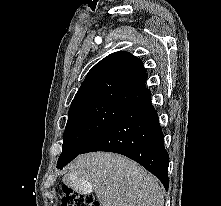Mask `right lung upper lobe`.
I'll return each mask as SVG.
<instances>
[{
  "label": "right lung upper lobe",
  "instance_id": "1",
  "mask_svg": "<svg viewBox=\"0 0 221 206\" xmlns=\"http://www.w3.org/2000/svg\"><path fill=\"white\" fill-rule=\"evenodd\" d=\"M142 61L128 52H115L97 63L76 93L70 110L105 104L127 108L148 93Z\"/></svg>",
  "mask_w": 221,
  "mask_h": 206
}]
</instances>
